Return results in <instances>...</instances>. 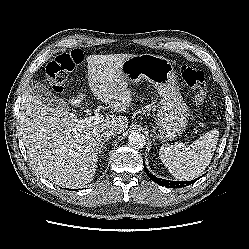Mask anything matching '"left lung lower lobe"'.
<instances>
[{
	"mask_svg": "<svg viewBox=\"0 0 249 249\" xmlns=\"http://www.w3.org/2000/svg\"><path fill=\"white\" fill-rule=\"evenodd\" d=\"M144 163V161H143ZM144 168H145V171L147 173V175L149 176V178L156 182L157 184L161 185V186H165V187H168V188H181V187H185V186H188L194 182H196V180H192V181H171V180H165V179H160V178H157L155 177L153 174H151L145 167V164H144Z\"/></svg>",
	"mask_w": 249,
	"mask_h": 249,
	"instance_id": "obj_1",
	"label": "left lung lower lobe"
}]
</instances>
